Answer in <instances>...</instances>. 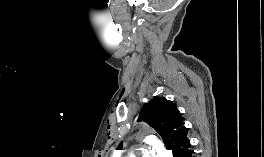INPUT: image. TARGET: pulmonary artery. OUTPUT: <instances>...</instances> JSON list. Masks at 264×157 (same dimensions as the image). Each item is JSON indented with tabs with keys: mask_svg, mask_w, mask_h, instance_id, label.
<instances>
[{
	"mask_svg": "<svg viewBox=\"0 0 264 157\" xmlns=\"http://www.w3.org/2000/svg\"><path fill=\"white\" fill-rule=\"evenodd\" d=\"M143 157H152V156L148 151H145Z\"/></svg>",
	"mask_w": 264,
	"mask_h": 157,
	"instance_id": "e3ab8cb5",
	"label": "pulmonary artery"
}]
</instances>
